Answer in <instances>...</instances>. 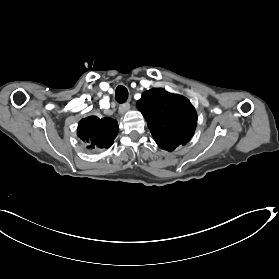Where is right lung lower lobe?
<instances>
[{
    "label": "right lung lower lobe",
    "instance_id": "right-lung-lower-lobe-1",
    "mask_svg": "<svg viewBox=\"0 0 279 279\" xmlns=\"http://www.w3.org/2000/svg\"><path fill=\"white\" fill-rule=\"evenodd\" d=\"M118 131L116 120L90 116L80 121L77 134L88 149H103L109 148L113 144Z\"/></svg>",
    "mask_w": 279,
    "mask_h": 279
}]
</instances>
